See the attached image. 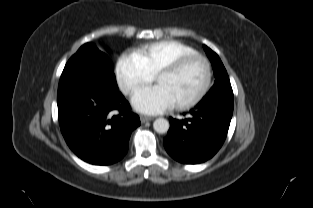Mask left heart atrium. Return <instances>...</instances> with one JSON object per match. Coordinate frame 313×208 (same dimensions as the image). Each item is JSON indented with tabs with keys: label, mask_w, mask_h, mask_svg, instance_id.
I'll return each mask as SVG.
<instances>
[{
	"label": "left heart atrium",
	"mask_w": 313,
	"mask_h": 208,
	"mask_svg": "<svg viewBox=\"0 0 313 208\" xmlns=\"http://www.w3.org/2000/svg\"><path fill=\"white\" fill-rule=\"evenodd\" d=\"M131 101L137 111L149 115L163 113L175 105L169 93L158 84L137 90Z\"/></svg>",
	"instance_id": "1"
}]
</instances>
